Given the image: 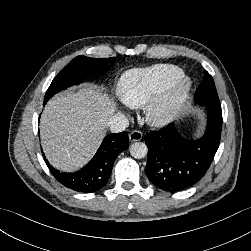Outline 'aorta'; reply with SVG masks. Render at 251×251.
Segmentation results:
<instances>
[{
	"mask_svg": "<svg viewBox=\"0 0 251 251\" xmlns=\"http://www.w3.org/2000/svg\"><path fill=\"white\" fill-rule=\"evenodd\" d=\"M147 151V146L142 142H135L130 147V153L136 159L144 158L147 155Z\"/></svg>",
	"mask_w": 251,
	"mask_h": 251,
	"instance_id": "1",
	"label": "aorta"
}]
</instances>
